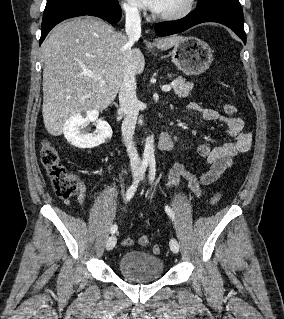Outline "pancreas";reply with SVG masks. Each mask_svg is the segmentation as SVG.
I'll use <instances>...</instances> for the list:
<instances>
[{
  "mask_svg": "<svg viewBox=\"0 0 284 319\" xmlns=\"http://www.w3.org/2000/svg\"><path fill=\"white\" fill-rule=\"evenodd\" d=\"M174 92L181 98H185L189 95V92L193 88V84L190 82H186L185 78L179 76L175 79L172 85Z\"/></svg>",
  "mask_w": 284,
  "mask_h": 319,
  "instance_id": "obj_1",
  "label": "pancreas"
}]
</instances>
